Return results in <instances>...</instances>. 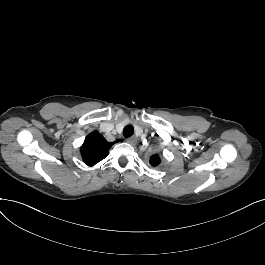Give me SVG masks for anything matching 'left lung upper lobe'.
Wrapping results in <instances>:
<instances>
[{
  "label": "left lung upper lobe",
  "mask_w": 265,
  "mask_h": 265,
  "mask_svg": "<svg viewBox=\"0 0 265 265\" xmlns=\"http://www.w3.org/2000/svg\"><path fill=\"white\" fill-rule=\"evenodd\" d=\"M159 163H160V158L158 157L157 154H156V155H153V156L150 158V164H151L152 166H157V165H159Z\"/></svg>",
  "instance_id": "1"
}]
</instances>
